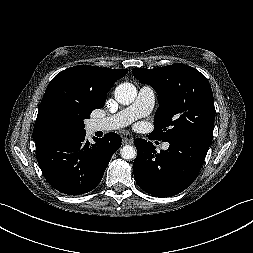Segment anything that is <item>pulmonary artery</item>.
I'll use <instances>...</instances> for the list:
<instances>
[{"label": "pulmonary artery", "instance_id": "e3ab8cb5", "mask_svg": "<svg viewBox=\"0 0 253 253\" xmlns=\"http://www.w3.org/2000/svg\"><path fill=\"white\" fill-rule=\"evenodd\" d=\"M154 104V90L150 86H142L131 105L109 117L93 120L92 129L93 131H111L126 127L135 120L149 115ZM168 147V143L162 144V149L166 150Z\"/></svg>", "mask_w": 253, "mask_h": 253}]
</instances>
